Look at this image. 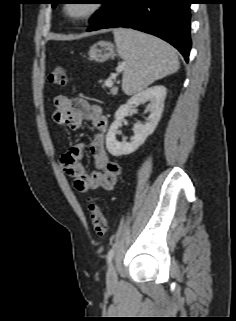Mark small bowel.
Segmentation results:
<instances>
[{"label":"small bowel","instance_id":"c3829d8e","mask_svg":"<svg viewBox=\"0 0 236 321\" xmlns=\"http://www.w3.org/2000/svg\"><path fill=\"white\" fill-rule=\"evenodd\" d=\"M53 106L52 117L56 124L79 130L88 122L95 132L89 144L95 165L94 171L87 172L81 162L85 150L82 143L71 146L60 155V165L73 179L74 188L80 193L97 188L111 190L117 183L122 168L111 160L105 149L108 120L102 114L101 108L83 98L62 95L54 98Z\"/></svg>","mask_w":236,"mask_h":321}]
</instances>
